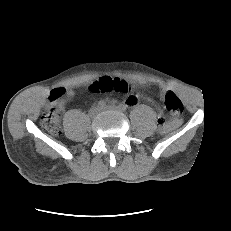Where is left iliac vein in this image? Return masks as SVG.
Instances as JSON below:
<instances>
[{"instance_id": "1", "label": "left iliac vein", "mask_w": 231, "mask_h": 231, "mask_svg": "<svg viewBox=\"0 0 231 231\" xmlns=\"http://www.w3.org/2000/svg\"><path fill=\"white\" fill-rule=\"evenodd\" d=\"M102 110L103 111H118L121 109L115 105H108V106H105L104 108H102Z\"/></svg>"}]
</instances>
